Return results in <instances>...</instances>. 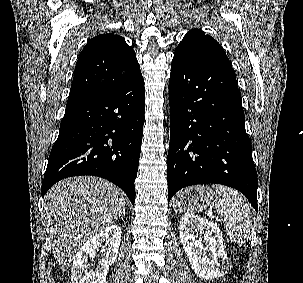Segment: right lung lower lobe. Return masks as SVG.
Here are the masks:
<instances>
[{
  "instance_id": "obj_1",
  "label": "right lung lower lobe",
  "mask_w": 303,
  "mask_h": 283,
  "mask_svg": "<svg viewBox=\"0 0 303 283\" xmlns=\"http://www.w3.org/2000/svg\"><path fill=\"white\" fill-rule=\"evenodd\" d=\"M145 112L144 80L66 106L42 182L44 194L58 181L80 175L105 178L135 201Z\"/></svg>"
}]
</instances>
